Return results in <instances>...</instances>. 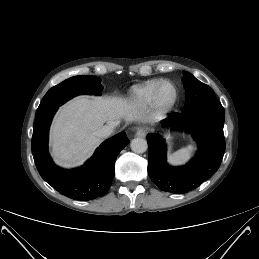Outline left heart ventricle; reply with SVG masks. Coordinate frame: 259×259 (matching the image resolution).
<instances>
[{
    "label": "left heart ventricle",
    "instance_id": "b2bd125f",
    "mask_svg": "<svg viewBox=\"0 0 259 259\" xmlns=\"http://www.w3.org/2000/svg\"><path fill=\"white\" fill-rule=\"evenodd\" d=\"M172 97V89L169 86L163 87L161 91V98L165 101L169 100Z\"/></svg>",
    "mask_w": 259,
    "mask_h": 259
}]
</instances>
